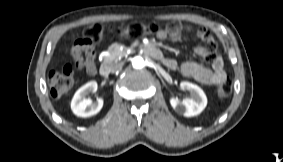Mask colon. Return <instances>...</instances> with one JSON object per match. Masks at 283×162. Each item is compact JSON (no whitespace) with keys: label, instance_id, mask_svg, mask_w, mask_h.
<instances>
[{"label":"colon","instance_id":"1","mask_svg":"<svg viewBox=\"0 0 283 162\" xmlns=\"http://www.w3.org/2000/svg\"><path fill=\"white\" fill-rule=\"evenodd\" d=\"M160 28L155 23L140 24L134 23L120 28L119 32L127 37L139 38L143 35L157 34ZM105 27L101 23L89 25L84 30V39L89 43L99 42L104 38ZM74 84L72 68L70 65H64L51 70L48 74V85L50 94L54 98L65 95ZM233 85L230 80H224L217 87V94L220 98H226L231 95Z\"/></svg>","mask_w":283,"mask_h":162}]
</instances>
